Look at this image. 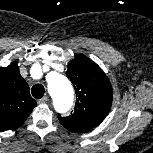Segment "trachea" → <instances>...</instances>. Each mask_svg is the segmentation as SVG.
Returning a JSON list of instances; mask_svg holds the SVG:
<instances>
[{
    "label": "trachea",
    "instance_id": "trachea-1",
    "mask_svg": "<svg viewBox=\"0 0 153 153\" xmlns=\"http://www.w3.org/2000/svg\"><path fill=\"white\" fill-rule=\"evenodd\" d=\"M44 92H45L44 86L41 84H36L31 88L32 96L36 99L42 98Z\"/></svg>",
    "mask_w": 153,
    "mask_h": 153
}]
</instances>
